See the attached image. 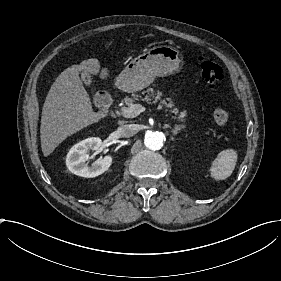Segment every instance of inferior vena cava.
<instances>
[{
	"mask_svg": "<svg viewBox=\"0 0 281 281\" xmlns=\"http://www.w3.org/2000/svg\"><path fill=\"white\" fill-rule=\"evenodd\" d=\"M118 133L122 137H131L137 133V127L134 124L123 125L118 129Z\"/></svg>",
	"mask_w": 281,
	"mask_h": 281,
	"instance_id": "1",
	"label": "inferior vena cava"
}]
</instances>
